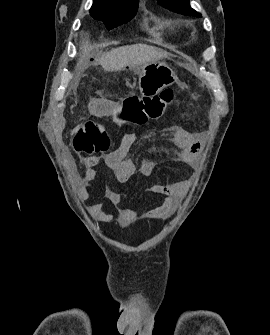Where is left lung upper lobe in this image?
Masks as SVG:
<instances>
[{
    "mask_svg": "<svg viewBox=\"0 0 270 335\" xmlns=\"http://www.w3.org/2000/svg\"><path fill=\"white\" fill-rule=\"evenodd\" d=\"M158 3L164 8L183 15L201 17L200 13L190 7L189 0H158Z\"/></svg>",
    "mask_w": 270,
    "mask_h": 335,
    "instance_id": "obj_1",
    "label": "left lung upper lobe"
}]
</instances>
